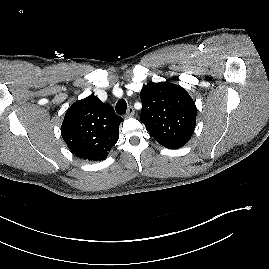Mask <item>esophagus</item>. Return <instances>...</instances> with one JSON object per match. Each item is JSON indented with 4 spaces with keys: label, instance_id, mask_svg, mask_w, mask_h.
<instances>
[{
    "label": "esophagus",
    "instance_id": "1",
    "mask_svg": "<svg viewBox=\"0 0 269 269\" xmlns=\"http://www.w3.org/2000/svg\"><path fill=\"white\" fill-rule=\"evenodd\" d=\"M134 113H135L134 108L132 106H129L127 108L126 116L127 117H132L134 115Z\"/></svg>",
    "mask_w": 269,
    "mask_h": 269
}]
</instances>
